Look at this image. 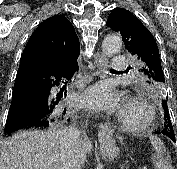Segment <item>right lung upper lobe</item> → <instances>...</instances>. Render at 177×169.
I'll return each instance as SVG.
<instances>
[{"label": "right lung upper lobe", "instance_id": "right-lung-upper-lobe-1", "mask_svg": "<svg viewBox=\"0 0 177 169\" xmlns=\"http://www.w3.org/2000/svg\"><path fill=\"white\" fill-rule=\"evenodd\" d=\"M80 44L70 21L55 15L43 21L32 33L20 66L72 68L76 66Z\"/></svg>", "mask_w": 177, "mask_h": 169}]
</instances>
